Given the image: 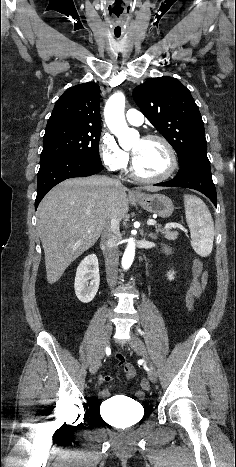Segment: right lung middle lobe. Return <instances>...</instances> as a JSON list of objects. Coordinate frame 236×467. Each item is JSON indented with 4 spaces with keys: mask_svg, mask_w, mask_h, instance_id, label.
<instances>
[{
    "mask_svg": "<svg viewBox=\"0 0 236 467\" xmlns=\"http://www.w3.org/2000/svg\"><path fill=\"white\" fill-rule=\"evenodd\" d=\"M101 128L59 125L46 128L41 161L60 155H71L96 164L99 156Z\"/></svg>",
    "mask_w": 236,
    "mask_h": 467,
    "instance_id": "obj_1",
    "label": "right lung middle lobe"
}]
</instances>
